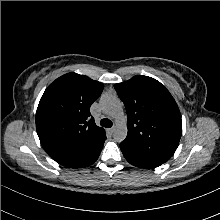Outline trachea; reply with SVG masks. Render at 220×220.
Returning a JSON list of instances; mask_svg holds the SVG:
<instances>
[{"label":"trachea","mask_w":220,"mask_h":220,"mask_svg":"<svg viewBox=\"0 0 220 220\" xmlns=\"http://www.w3.org/2000/svg\"><path fill=\"white\" fill-rule=\"evenodd\" d=\"M100 125L103 126V127H106V128H111L113 123L111 120L107 119V118H104L100 121Z\"/></svg>","instance_id":"3493384b"}]
</instances>
